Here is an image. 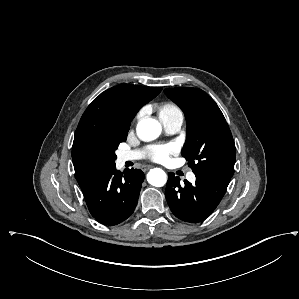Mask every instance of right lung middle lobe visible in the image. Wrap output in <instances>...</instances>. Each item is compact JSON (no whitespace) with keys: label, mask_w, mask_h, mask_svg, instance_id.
<instances>
[{"label":"right lung middle lobe","mask_w":299,"mask_h":299,"mask_svg":"<svg viewBox=\"0 0 299 299\" xmlns=\"http://www.w3.org/2000/svg\"><path fill=\"white\" fill-rule=\"evenodd\" d=\"M127 133L107 132L100 140L91 141L84 147L88 174L94 178L99 173L115 165V150L126 141Z\"/></svg>","instance_id":"dd1d6c3e"}]
</instances>
